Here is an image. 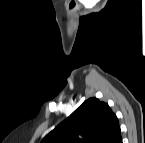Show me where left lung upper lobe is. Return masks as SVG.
Masks as SVG:
<instances>
[{
	"instance_id": "left-lung-upper-lobe-1",
	"label": "left lung upper lobe",
	"mask_w": 145,
	"mask_h": 143,
	"mask_svg": "<svg viewBox=\"0 0 145 143\" xmlns=\"http://www.w3.org/2000/svg\"><path fill=\"white\" fill-rule=\"evenodd\" d=\"M120 137L118 118L108 104L90 98L41 143H117Z\"/></svg>"
}]
</instances>
